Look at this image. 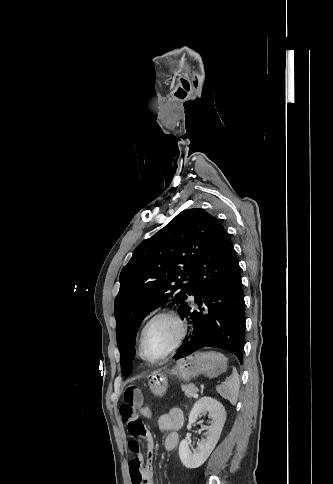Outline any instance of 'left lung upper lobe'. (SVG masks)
Masks as SVG:
<instances>
[{"label":"left lung upper lobe","instance_id":"obj_1","mask_svg":"<svg viewBox=\"0 0 333 484\" xmlns=\"http://www.w3.org/2000/svg\"><path fill=\"white\" fill-rule=\"evenodd\" d=\"M213 219L202 209L180 212L144 240L122 269L114 314L123 376L131 373L135 337L145 315L166 303H187L192 288L185 281Z\"/></svg>","mask_w":333,"mask_h":484}]
</instances>
